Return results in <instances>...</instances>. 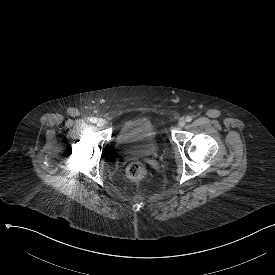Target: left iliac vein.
<instances>
[{"label":"left iliac vein","mask_w":275,"mask_h":275,"mask_svg":"<svg viewBox=\"0 0 275 275\" xmlns=\"http://www.w3.org/2000/svg\"><path fill=\"white\" fill-rule=\"evenodd\" d=\"M186 125V120L184 118H181L179 121H178V126L180 128L184 127Z\"/></svg>","instance_id":"1"}]
</instances>
